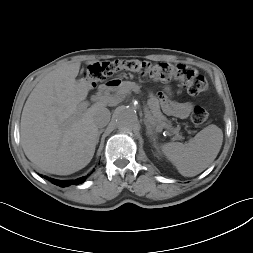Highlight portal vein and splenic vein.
Returning <instances> with one entry per match:
<instances>
[{
	"instance_id": "portal-vein-and-splenic-vein-1",
	"label": "portal vein and splenic vein",
	"mask_w": 253,
	"mask_h": 253,
	"mask_svg": "<svg viewBox=\"0 0 253 253\" xmlns=\"http://www.w3.org/2000/svg\"><path fill=\"white\" fill-rule=\"evenodd\" d=\"M102 99H103V98H102ZM88 106H89V103H88V102H82V103H80V104H79V111H80V112H84V111L87 109ZM144 111H145V113H146L148 119H149L150 121H152L153 123H155L154 117L151 115L150 110H149V108H148L147 106L144 107ZM158 130L160 131V127H158ZM174 133L177 134L178 131H174Z\"/></svg>"
}]
</instances>
